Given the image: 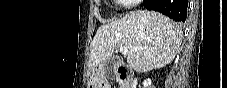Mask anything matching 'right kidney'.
<instances>
[{"label": "right kidney", "mask_w": 227, "mask_h": 88, "mask_svg": "<svg viewBox=\"0 0 227 88\" xmlns=\"http://www.w3.org/2000/svg\"><path fill=\"white\" fill-rule=\"evenodd\" d=\"M151 84H152V82H151V79H149V78L144 80L143 83H142L144 88L151 86Z\"/></svg>", "instance_id": "ca27d5eb"}]
</instances>
